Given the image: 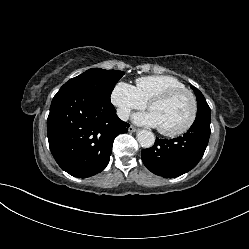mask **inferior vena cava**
Listing matches in <instances>:
<instances>
[{"instance_id":"602c4592","label":"inferior vena cava","mask_w":249,"mask_h":249,"mask_svg":"<svg viewBox=\"0 0 249 249\" xmlns=\"http://www.w3.org/2000/svg\"><path fill=\"white\" fill-rule=\"evenodd\" d=\"M117 115L118 117L123 120V121H127L130 115V112L128 110H124V109H118L117 110Z\"/></svg>"}]
</instances>
